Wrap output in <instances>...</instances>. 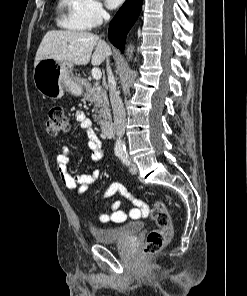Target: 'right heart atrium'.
Segmentation results:
<instances>
[{"label":"right heart atrium","mask_w":247,"mask_h":296,"mask_svg":"<svg viewBox=\"0 0 247 296\" xmlns=\"http://www.w3.org/2000/svg\"><path fill=\"white\" fill-rule=\"evenodd\" d=\"M109 16L100 0H82L80 17L88 28L99 26Z\"/></svg>","instance_id":"d8ad5b80"}]
</instances>
